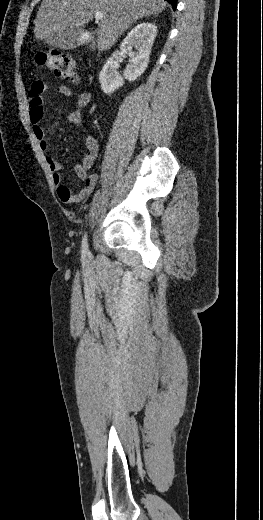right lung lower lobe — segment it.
<instances>
[{"mask_svg":"<svg viewBox=\"0 0 263 520\" xmlns=\"http://www.w3.org/2000/svg\"><path fill=\"white\" fill-rule=\"evenodd\" d=\"M166 1H168V2L172 5L173 10L176 9V6H177V0H166Z\"/></svg>","mask_w":263,"mask_h":520,"instance_id":"1","label":"right lung lower lobe"}]
</instances>
